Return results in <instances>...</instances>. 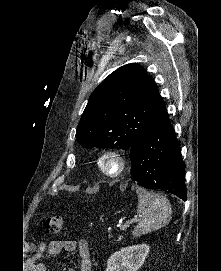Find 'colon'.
<instances>
[{
    "label": "colon",
    "mask_w": 221,
    "mask_h": 271,
    "mask_svg": "<svg viewBox=\"0 0 221 271\" xmlns=\"http://www.w3.org/2000/svg\"><path fill=\"white\" fill-rule=\"evenodd\" d=\"M43 227L52 234H59L62 230V220L59 215H47L42 222Z\"/></svg>",
    "instance_id": "colon-1"
}]
</instances>
